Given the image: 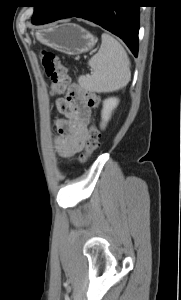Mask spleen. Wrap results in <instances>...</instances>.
Segmentation results:
<instances>
[{"label": "spleen", "mask_w": 181, "mask_h": 300, "mask_svg": "<svg viewBox=\"0 0 181 300\" xmlns=\"http://www.w3.org/2000/svg\"><path fill=\"white\" fill-rule=\"evenodd\" d=\"M98 53L89 61L91 75H81L79 85L92 92L108 93L117 91L130 81V60L123 46L108 33L101 36Z\"/></svg>", "instance_id": "1"}]
</instances>
